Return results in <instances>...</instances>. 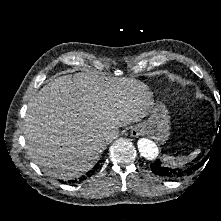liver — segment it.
<instances>
[{"instance_id": "6515ba94", "label": "liver", "mask_w": 221, "mask_h": 221, "mask_svg": "<svg viewBox=\"0 0 221 221\" xmlns=\"http://www.w3.org/2000/svg\"><path fill=\"white\" fill-rule=\"evenodd\" d=\"M152 93L131 78L75 73L50 81L28 103L24 137L34 163L59 179L90 170L109 140L104 132L139 122Z\"/></svg>"}]
</instances>
